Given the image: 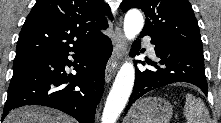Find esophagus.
I'll list each match as a JSON object with an SVG mask.
<instances>
[{
	"label": "esophagus",
	"instance_id": "1",
	"mask_svg": "<svg viewBox=\"0 0 221 123\" xmlns=\"http://www.w3.org/2000/svg\"><path fill=\"white\" fill-rule=\"evenodd\" d=\"M126 50V39L122 29L117 26L113 38V52L105 70V81L109 83L116 73L115 63L122 58Z\"/></svg>",
	"mask_w": 221,
	"mask_h": 123
}]
</instances>
